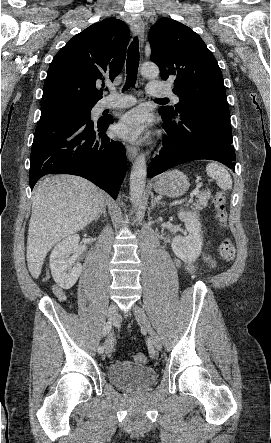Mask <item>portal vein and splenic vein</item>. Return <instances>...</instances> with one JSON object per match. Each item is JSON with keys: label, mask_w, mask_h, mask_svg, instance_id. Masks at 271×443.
Instances as JSON below:
<instances>
[{"label": "portal vein and splenic vein", "mask_w": 271, "mask_h": 443, "mask_svg": "<svg viewBox=\"0 0 271 443\" xmlns=\"http://www.w3.org/2000/svg\"><path fill=\"white\" fill-rule=\"evenodd\" d=\"M200 189L197 186L192 187V189H190L189 193H188V197L190 199H194L197 194H199ZM184 200H179V202H174V204H183Z\"/></svg>", "instance_id": "18ae733b"}]
</instances>
